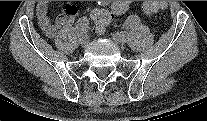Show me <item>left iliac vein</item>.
Masks as SVG:
<instances>
[{
	"mask_svg": "<svg viewBox=\"0 0 207 121\" xmlns=\"http://www.w3.org/2000/svg\"><path fill=\"white\" fill-rule=\"evenodd\" d=\"M114 42L118 45H124L126 42L125 35L122 33H115L112 35Z\"/></svg>",
	"mask_w": 207,
	"mask_h": 121,
	"instance_id": "1",
	"label": "left iliac vein"
}]
</instances>
